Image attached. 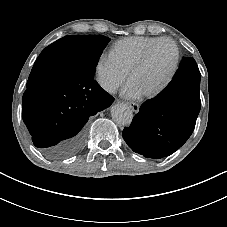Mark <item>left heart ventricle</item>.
<instances>
[{"label":"left heart ventricle","instance_id":"obj_1","mask_svg":"<svg viewBox=\"0 0 227 227\" xmlns=\"http://www.w3.org/2000/svg\"><path fill=\"white\" fill-rule=\"evenodd\" d=\"M174 58V47L168 42L159 43L152 50L146 65L132 77L130 83L142 95L152 92L165 80Z\"/></svg>","mask_w":227,"mask_h":227}]
</instances>
